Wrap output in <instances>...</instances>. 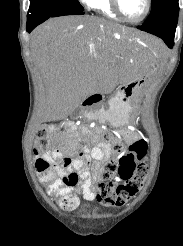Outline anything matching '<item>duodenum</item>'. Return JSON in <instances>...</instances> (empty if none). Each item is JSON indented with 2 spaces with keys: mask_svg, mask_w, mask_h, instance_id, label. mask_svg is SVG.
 I'll use <instances>...</instances> for the list:
<instances>
[{
  "mask_svg": "<svg viewBox=\"0 0 183 246\" xmlns=\"http://www.w3.org/2000/svg\"><path fill=\"white\" fill-rule=\"evenodd\" d=\"M102 100V96L100 93H93L87 97L84 102V105L87 106L88 109L92 108V105L98 104Z\"/></svg>",
  "mask_w": 183,
  "mask_h": 246,
  "instance_id": "1",
  "label": "duodenum"
}]
</instances>
